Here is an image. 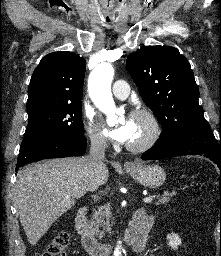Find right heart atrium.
I'll use <instances>...</instances> for the list:
<instances>
[{"label": "right heart atrium", "instance_id": "obj_1", "mask_svg": "<svg viewBox=\"0 0 221 256\" xmlns=\"http://www.w3.org/2000/svg\"><path fill=\"white\" fill-rule=\"evenodd\" d=\"M87 132L91 143L94 146L102 147L106 144V138L102 130L98 127L94 120L93 113L86 114Z\"/></svg>", "mask_w": 221, "mask_h": 256}]
</instances>
